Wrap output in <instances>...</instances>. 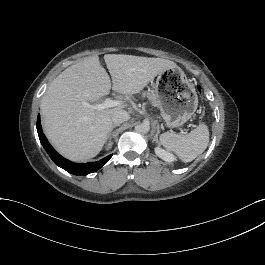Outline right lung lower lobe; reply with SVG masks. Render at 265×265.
I'll return each instance as SVG.
<instances>
[{
  "label": "right lung lower lobe",
  "instance_id": "98d812e1",
  "mask_svg": "<svg viewBox=\"0 0 265 265\" xmlns=\"http://www.w3.org/2000/svg\"><path fill=\"white\" fill-rule=\"evenodd\" d=\"M37 132L40 139V142L42 143L43 147L51 157V159L61 168L68 171L69 173H72L74 175H87L89 173L95 172L98 169H100L107 161L110 160L112 157V154L103 158L100 161L97 162H88L85 163H73L66 159H64L62 156H60L50 145V143L47 141L45 135L42 132L41 124H40V115H38L37 118Z\"/></svg>",
  "mask_w": 265,
  "mask_h": 265
}]
</instances>
